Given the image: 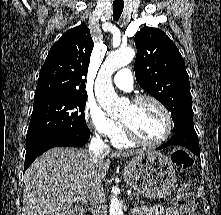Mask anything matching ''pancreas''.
I'll list each match as a JSON object with an SVG mask.
<instances>
[{"label":"pancreas","instance_id":"obj_1","mask_svg":"<svg viewBox=\"0 0 221 215\" xmlns=\"http://www.w3.org/2000/svg\"><path fill=\"white\" fill-rule=\"evenodd\" d=\"M132 197H135V199H132L134 205H144L145 201L138 193H133Z\"/></svg>","mask_w":221,"mask_h":215}]
</instances>
